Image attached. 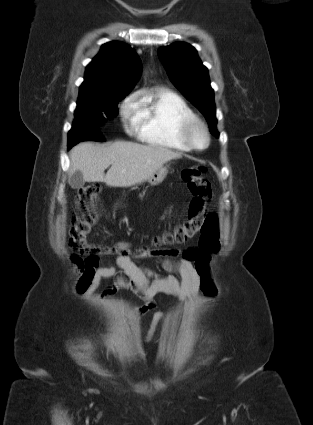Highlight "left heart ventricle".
<instances>
[{
  "instance_id": "b2bd125f",
  "label": "left heart ventricle",
  "mask_w": 313,
  "mask_h": 425,
  "mask_svg": "<svg viewBox=\"0 0 313 425\" xmlns=\"http://www.w3.org/2000/svg\"><path fill=\"white\" fill-rule=\"evenodd\" d=\"M194 140H195L196 144L199 145V146H203L205 144V137L200 130L195 132Z\"/></svg>"
}]
</instances>
